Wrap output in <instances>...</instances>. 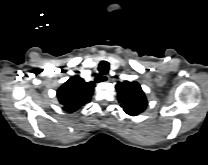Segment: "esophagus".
<instances>
[{"instance_id":"34e87169","label":"esophagus","mask_w":208,"mask_h":165,"mask_svg":"<svg viewBox=\"0 0 208 165\" xmlns=\"http://www.w3.org/2000/svg\"><path fill=\"white\" fill-rule=\"evenodd\" d=\"M98 80H99V81L104 80V81H106V82H109V81H110V77H109L108 75H105V76L102 77V78H98Z\"/></svg>"}]
</instances>
